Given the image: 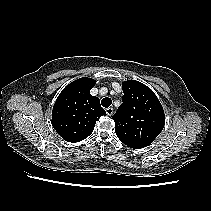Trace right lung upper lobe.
<instances>
[{
    "label": "right lung upper lobe",
    "instance_id": "cb5924a9",
    "mask_svg": "<svg viewBox=\"0 0 211 211\" xmlns=\"http://www.w3.org/2000/svg\"><path fill=\"white\" fill-rule=\"evenodd\" d=\"M96 81L83 77L67 85L52 110V126L68 142L87 138L100 116L106 115L98 97L90 94Z\"/></svg>",
    "mask_w": 211,
    "mask_h": 211
}]
</instances>
